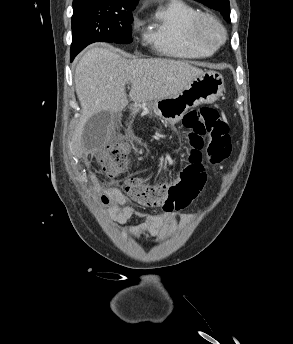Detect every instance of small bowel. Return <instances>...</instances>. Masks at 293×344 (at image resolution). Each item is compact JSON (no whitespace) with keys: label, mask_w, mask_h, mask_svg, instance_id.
Returning a JSON list of instances; mask_svg holds the SVG:
<instances>
[{"label":"small bowel","mask_w":293,"mask_h":344,"mask_svg":"<svg viewBox=\"0 0 293 344\" xmlns=\"http://www.w3.org/2000/svg\"><path fill=\"white\" fill-rule=\"evenodd\" d=\"M195 179L200 184H205L207 174L205 166L198 165L194 168ZM108 196L110 203L107 210V218L109 222L116 224H124L134 215L143 216L145 220L133 227L124 228L122 231L133 237L164 239L175 231L178 221L186 223L190 220V216L185 213H175L172 211H163L157 213H145L138 211L132 204L129 197L122 192L117 186H110L103 189Z\"/></svg>","instance_id":"c3829d8e"}]
</instances>
